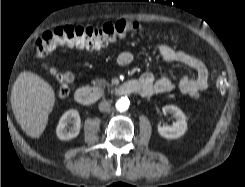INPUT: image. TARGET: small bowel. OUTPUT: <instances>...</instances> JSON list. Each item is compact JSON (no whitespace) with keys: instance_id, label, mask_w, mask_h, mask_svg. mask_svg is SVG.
<instances>
[{"instance_id":"1","label":"small bowel","mask_w":245,"mask_h":187,"mask_svg":"<svg viewBox=\"0 0 245 187\" xmlns=\"http://www.w3.org/2000/svg\"><path fill=\"white\" fill-rule=\"evenodd\" d=\"M156 50L165 61L181 63L195 70L196 77L191 78L187 74H182L178 82L175 83L166 76L155 78L151 73H144L138 79L143 86L144 97L168 93L175 88H178L183 95L191 98H198L208 91L209 73L200 59L165 43L157 44ZM132 61L133 54L130 51H121L117 56V63L121 66H128Z\"/></svg>"}]
</instances>
